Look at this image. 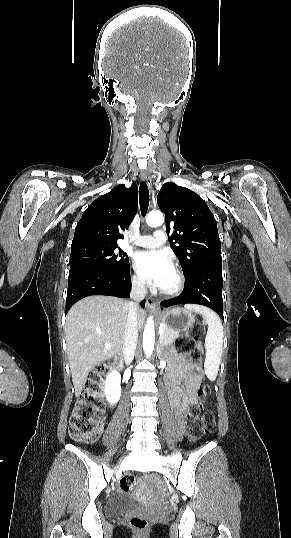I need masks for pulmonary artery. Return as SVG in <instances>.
Returning a JSON list of instances; mask_svg holds the SVG:
<instances>
[{"mask_svg": "<svg viewBox=\"0 0 291 538\" xmlns=\"http://www.w3.org/2000/svg\"><path fill=\"white\" fill-rule=\"evenodd\" d=\"M166 242V233L162 229H158L153 235H143L136 239L133 243L143 248H155L162 246Z\"/></svg>", "mask_w": 291, "mask_h": 538, "instance_id": "1", "label": "pulmonary artery"}]
</instances>
